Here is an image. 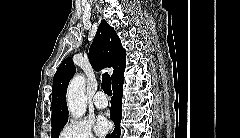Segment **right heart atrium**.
Wrapping results in <instances>:
<instances>
[{
    "mask_svg": "<svg viewBox=\"0 0 240 138\" xmlns=\"http://www.w3.org/2000/svg\"><path fill=\"white\" fill-rule=\"evenodd\" d=\"M61 138H94L91 124L80 119H70L62 128Z\"/></svg>",
    "mask_w": 240,
    "mask_h": 138,
    "instance_id": "d8ad5b80",
    "label": "right heart atrium"
}]
</instances>
